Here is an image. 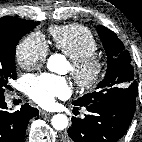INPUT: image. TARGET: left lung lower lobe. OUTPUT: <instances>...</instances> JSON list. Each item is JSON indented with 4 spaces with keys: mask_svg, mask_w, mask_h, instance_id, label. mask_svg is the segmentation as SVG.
<instances>
[{
    "mask_svg": "<svg viewBox=\"0 0 142 142\" xmlns=\"http://www.w3.org/2000/svg\"><path fill=\"white\" fill-rule=\"evenodd\" d=\"M135 95L91 103L84 119L72 117L64 142H116L127 131L136 108Z\"/></svg>",
    "mask_w": 142,
    "mask_h": 142,
    "instance_id": "1",
    "label": "left lung lower lobe"
}]
</instances>
